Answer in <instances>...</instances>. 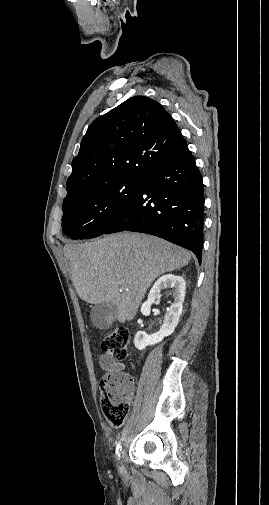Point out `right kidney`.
Returning a JSON list of instances; mask_svg holds the SVG:
<instances>
[{
	"label": "right kidney",
	"mask_w": 269,
	"mask_h": 505,
	"mask_svg": "<svg viewBox=\"0 0 269 505\" xmlns=\"http://www.w3.org/2000/svg\"><path fill=\"white\" fill-rule=\"evenodd\" d=\"M185 280L181 276L166 274L161 276L151 288L148 299L141 306V313L145 316L150 314L151 305L159 302L161 290L172 288L174 301L168 309L163 325L160 330L154 334L148 335L144 331H138L134 338V345L138 350H143L149 345H155L161 342L164 337L171 335L180 319L185 297Z\"/></svg>",
	"instance_id": "right-kidney-1"
}]
</instances>
